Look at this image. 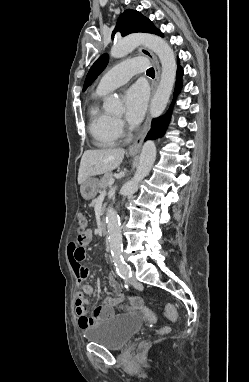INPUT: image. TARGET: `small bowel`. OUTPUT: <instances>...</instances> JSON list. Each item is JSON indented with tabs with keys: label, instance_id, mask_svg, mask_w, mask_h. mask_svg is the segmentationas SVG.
<instances>
[{
	"label": "small bowel",
	"instance_id": "small-bowel-1",
	"mask_svg": "<svg viewBox=\"0 0 249 382\" xmlns=\"http://www.w3.org/2000/svg\"><path fill=\"white\" fill-rule=\"evenodd\" d=\"M93 237L92 231L87 230L84 236L83 241H78V237L75 241L70 242L68 246L67 258L70 259L71 266L73 267L76 273V266H80L81 262L87 261L86 250L87 245L91 242ZM79 285L81 291H79L76 295V313L78 315V325L81 329L85 330L88 327L94 325L97 322L104 320L109 317L111 314V305H98L95 307L93 314L91 316L87 315V305L89 304V300L85 298V295H93L94 290L90 284H88L85 280L87 278L78 277ZM109 285L114 289L117 295L121 296V289L116 282L115 278L112 275L108 277ZM132 303L134 306H142V301L138 298H133Z\"/></svg>",
	"mask_w": 249,
	"mask_h": 382
}]
</instances>
